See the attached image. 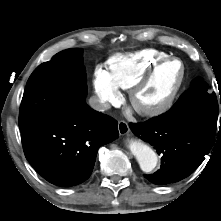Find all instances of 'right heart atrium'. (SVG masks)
<instances>
[{"instance_id":"right-heart-atrium-1","label":"right heart atrium","mask_w":221,"mask_h":221,"mask_svg":"<svg viewBox=\"0 0 221 221\" xmlns=\"http://www.w3.org/2000/svg\"><path fill=\"white\" fill-rule=\"evenodd\" d=\"M93 87L98 101L104 109L116 104L121 98L119 87L102 67H97L94 71Z\"/></svg>"}]
</instances>
